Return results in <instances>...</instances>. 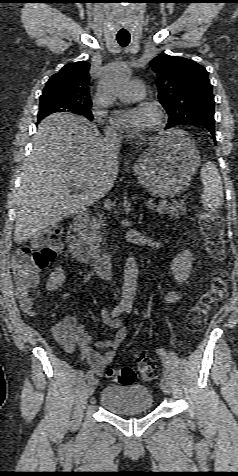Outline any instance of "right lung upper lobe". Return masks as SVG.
Returning a JSON list of instances; mask_svg holds the SVG:
<instances>
[{
    "instance_id": "obj_1",
    "label": "right lung upper lobe",
    "mask_w": 238,
    "mask_h": 476,
    "mask_svg": "<svg viewBox=\"0 0 238 476\" xmlns=\"http://www.w3.org/2000/svg\"><path fill=\"white\" fill-rule=\"evenodd\" d=\"M89 68L90 64L87 61L65 65L48 80L40 102H52L74 112L91 107Z\"/></svg>"
}]
</instances>
